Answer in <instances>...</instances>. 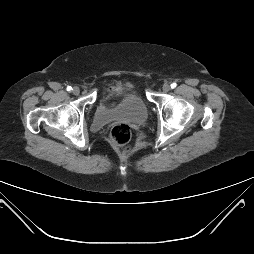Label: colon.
<instances>
[{
	"label": "colon",
	"mask_w": 254,
	"mask_h": 254,
	"mask_svg": "<svg viewBox=\"0 0 254 254\" xmlns=\"http://www.w3.org/2000/svg\"><path fill=\"white\" fill-rule=\"evenodd\" d=\"M132 136L131 128L125 123H119L113 126L110 132L111 144L123 153H130L129 145Z\"/></svg>",
	"instance_id": "obj_1"
}]
</instances>
